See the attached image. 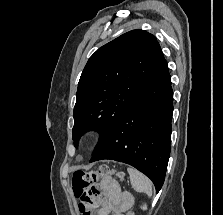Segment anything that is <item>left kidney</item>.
I'll return each instance as SVG.
<instances>
[{"label": "left kidney", "instance_id": "obj_1", "mask_svg": "<svg viewBox=\"0 0 223 215\" xmlns=\"http://www.w3.org/2000/svg\"><path fill=\"white\" fill-rule=\"evenodd\" d=\"M141 209H147V205H141Z\"/></svg>", "mask_w": 223, "mask_h": 215}]
</instances>
